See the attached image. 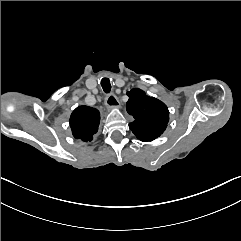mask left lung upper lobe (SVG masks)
I'll list each match as a JSON object with an SVG mask.
<instances>
[{"mask_svg":"<svg viewBox=\"0 0 241 241\" xmlns=\"http://www.w3.org/2000/svg\"><path fill=\"white\" fill-rule=\"evenodd\" d=\"M127 95L129 100L126 109L134 117V121L129 124L131 131L143 142L155 140L167 127V106L138 88L132 89Z\"/></svg>","mask_w":241,"mask_h":241,"instance_id":"left-lung-upper-lobe-1","label":"left lung upper lobe"}]
</instances>
